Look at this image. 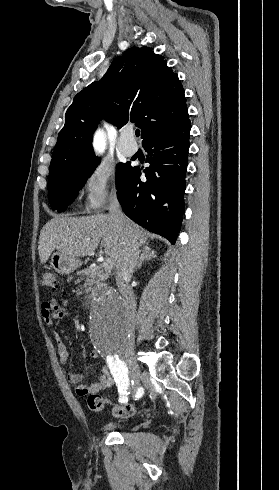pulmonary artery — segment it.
Segmentation results:
<instances>
[{
    "label": "pulmonary artery",
    "instance_id": "pulmonary-artery-1",
    "mask_svg": "<svg viewBox=\"0 0 279 490\" xmlns=\"http://www.w3.org/2000/svg\"><path fill=\"white\" fill-rule=\"evenodd\" d=\"M120 137H117V146H122L121 151L124 155L131 157L137 152V145L134 144L132 128H120Z\"/></svg>",
    "mask_w": 279,
    "mask_h": 490
}]
</instances>
